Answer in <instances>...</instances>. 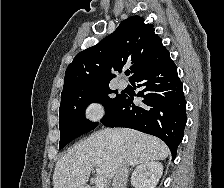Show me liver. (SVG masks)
Segmentation results:
<instances>
[{
	"mask_svg": "<svg viewBox=\"0 0 224 188\" xmlns=\"http://www.w3.org/2000/svg\"><path fill=\"white\" fill-rule=\"evenodd\" d=\"M170 150L157 137L135 130L102 129L80 141L56 163L53 174L54 188H86L90 171L73 175L74 171L96 168L106 179H112L122 161L139 165L168 157Z\"/></svg>",
	"mask_w": 224,
	"mask_h": 188,
	"instance_id": "liver-1",
	"label": "liver"
}]
</instances>
